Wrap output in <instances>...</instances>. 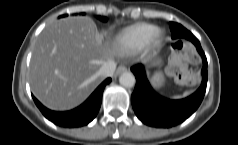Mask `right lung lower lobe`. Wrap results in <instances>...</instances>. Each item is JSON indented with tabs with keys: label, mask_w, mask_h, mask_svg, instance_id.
<instances>
[{
	"label": "right lung lower lobe",
	"mask_w": 238,
	"mask_h": 145,
	"mask_svg": "<svg viewBox=\"0 0 238 145\" xmlns=\"http://www.w3.org/2000/svg\"><path fill=\"white\" fill-rule=\"evenodd\" d=\"M110 82L111 78H107L82 105L65 112L51 111L44 107L33 95L32 97L42 114L54 124L66 128L81 127L87 125L96 117L101 106L104 88Z\"/></svg>",
	"instance_id": "98d812e1"
}]
</instances>
